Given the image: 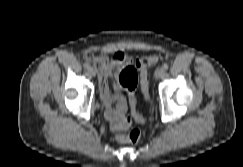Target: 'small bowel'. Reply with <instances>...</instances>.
<instances>
[{
  "instance_id": "obj_1",
  "label": "small bowel",
  "mask_w": 243,
  "mask_h": 167,
  "mask_svg": "<svg viewBox=\"0 0 243 167\" xmlns=\"http://www.w3.org/2000/svg\"><path fill=\"white\" fill-rule=\"evenodd\" d=\"M131 62V56L123 51H116L111 56L99 55L94 58V64L99 72L100 98L105 106V117L112 127L125 117L127 105L120 93L121 86L117 79L121 69ZM131 110L134 119L138 121L136 104L131 106Z\"/></svg>"
}]
</instances>
